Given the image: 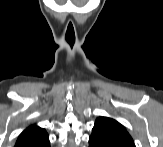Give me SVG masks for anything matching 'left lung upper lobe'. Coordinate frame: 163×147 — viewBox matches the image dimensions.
Instances as JSON below:
<instances>
[{"mask_svg": "<svg viewBox=\"0 0 163 147\" xmlns=\"http://www.w3.org/2000/svg\"><path fill=\"white\" fill-rule=\"evenodd\" d=\"M92 131H99L109 134H120L131 137L123 125L109 117L97 118Z\"/></svg>", "mask_w": 163, "mask_h": 147, "instance_id": "1", "label": "left lung upper lobe"}]
</instances>
